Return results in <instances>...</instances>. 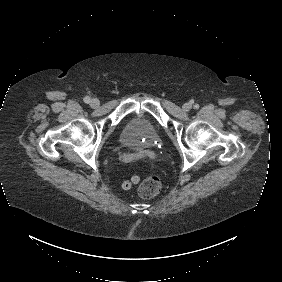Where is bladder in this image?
<instances>
[{
	"label": "bladder",
	"mask_w": 282,
	"mask_h": 282,
	"mask_svg": "<svg viewBox=\"0 0 282 282\" xmlns=\"http://www.w3.org/2000/svg\"><path fill=\"white\" fill-rule=\"evenodd\" d=\"M120 142L132 151L152 150L161 144V136L148 117L134 115L124 124L120 132Z\"/></svg>",
	"instance_id": "1"
}]
</instances>
